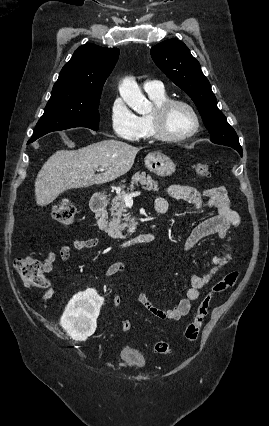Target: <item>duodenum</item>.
I'll list each match as a JSON object with an SVG mask.
<instances>
[{"label":"duodenum","instance_id":"410a0bca","mask_svg":"<svg viewBox=\"0 0 269 426\" xmlns=\"http://www.w3.org/2000/svg\"><path fill=\"white\" fill-rule=\"evenodd\" d=\"M109 203V198L104 192H97L91 199V209L94 212L96 218L99 221L100 226H105V209ZM166 212L164 208L158 209V213L163 215ZM154 240V235L151 233L139 235L131 240H128L122 244L124 247L145 244Z\"/></svg>","mask_w":269,"mask_h":426}]
</instances>
